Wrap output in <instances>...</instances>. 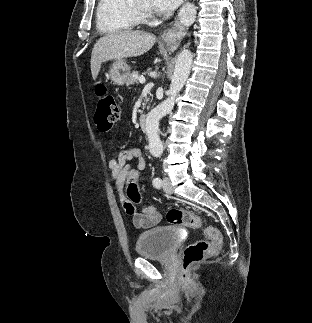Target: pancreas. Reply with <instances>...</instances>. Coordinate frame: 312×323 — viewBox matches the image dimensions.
<instances>
[{
	"label": "pancreas",
	"instance_id": "1",
	"mask_svg": "<svg viewBox=\"0 0 312 323\" xmlns=\"http://www.w3.org/2000/svg\"><path fill=\"white\" fill-rule=\"evenodd\" d=\"M139 72H132V74H129V78H127V86H130V84H135V82H138V76Z\"/></svg>",
	"mask_w": 312,
	"mask_h": 323
}]
</instances>
